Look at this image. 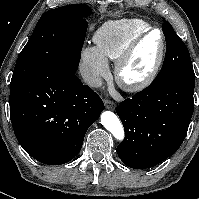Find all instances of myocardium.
<instances>
[{"instance_id": "obj_1", "label": "myocardium", "mask_w": 199, "mask_h": 199, "mask_svg": "<svg viewBox=\"0 0 199 199\" xmlns=\"http://www.w3.org/2000/svg\"><path fill=\"white\" fill-rule=\"evenodd\" d=\"M153 32H158L161 36L160 51L153 67L151 68L148 74H146L144 77L140 79H136V80L128 79L125 75V68L127 64L129 63L130 59L132 58L135 50L140 45V43ZM165 53H166V37L161 29L151 27L148 30L140 33L130 42V44L127 46L124 52L116 60L115 76H116V80L118 84L124 90L129 91V92H138L145 89L156 79L162 67Z\"/></svg>"}]
</instances>
